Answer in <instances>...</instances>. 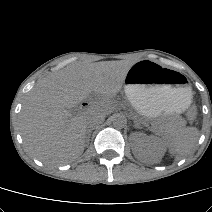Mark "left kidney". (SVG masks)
Masks as SVG:
<instances>
[{
    "instance_id": "left-kidney-1",
    "label": "left kidney",
    "mask_w": 212,
    "mask_h": 212,
    "mask_svg": "<svg viewBox=\"0 0 212 212\" xmlns=\"http://www.w3.org/2000/svg\"><path fill=\"white\" fill-rule=\"evenodd\" d=\"M137 147L135 148V156L142 160H156L163 156L165 145L163 141L155 136H147L143 133H136Z\"/></svg>"
}]
</instances>
